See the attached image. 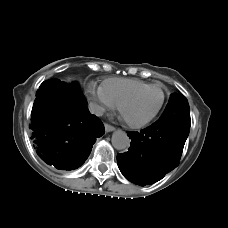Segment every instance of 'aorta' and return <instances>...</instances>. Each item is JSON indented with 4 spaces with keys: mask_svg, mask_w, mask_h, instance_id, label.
<instances>
[{
    "mask_svg": "<svg viewBox=\"0 0 228 228\" xmlns=\"http://www.w3.org/2000/svg\"><path fill=\"white\" fill-rule=\"evenodd\" d=\"M111 141L116 150H127L130 147V139L126 132L122 130L115 131Z\"/></svg>",
    "mask_w": 228,
    "mask_h": 228,
    "instance_id": "obj_1",
    "label": "aorta"
}]
</instances>
